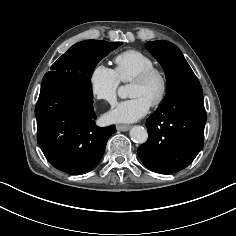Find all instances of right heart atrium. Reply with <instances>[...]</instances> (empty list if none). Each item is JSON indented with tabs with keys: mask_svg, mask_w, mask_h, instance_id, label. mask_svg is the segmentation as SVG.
<instances>
[{
	"mask_svg": "<svg viewBox=\"0 0 236 236\" xmlns=\"http://www.w3.org/2000/svg\"><path fill=\"white\" fill-rule=\"evenodd\" d=\"M88 84L94 98L113 103L116 99L120 79L115 69L103 63H97L88 75Z\"/></svg>",
	"mask_w": 236,
	"mask_h": 236,
	"instance_id": "right-heart-atrium-1",
	"label": "right heart atrium"
}]
</instances>
